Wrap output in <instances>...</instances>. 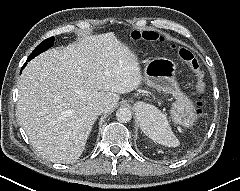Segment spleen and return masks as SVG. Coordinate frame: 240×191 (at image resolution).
Here are the masks:
<instances>
[{
    "instance_id": "1",
    "label": "spleen",
    "mask_w": 240,
    "mask_h": 191,
    "mask_svg": "<svg viewBox=\"0 0 240 191\" xmlns=\"http://www.w3.org/2000/svg\"><path fill=\"white\" fill-rule=\"evenodd\" d=\"M140 127L142 131L154 142L168 147L180 144L171 130L166 115L154 106H148L140 113Z\"/></svg>"
}]
</instances>
